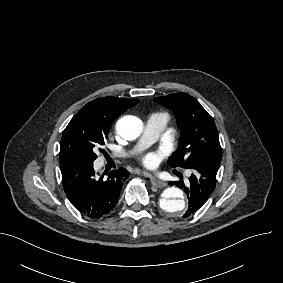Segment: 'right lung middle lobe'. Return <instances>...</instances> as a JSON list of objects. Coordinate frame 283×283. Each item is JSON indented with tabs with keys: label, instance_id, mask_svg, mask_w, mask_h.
I'll list each match as a JSON object with an SVG mask.
<instances>
[{
	"label": "right lung middle lobe",
	"instance_id": "dd1d6c3e",
	"mask_svg": "<svg viewBox=\"0 0 283 283\" xmlns=\"http://www.w3.org/2000/svg\"><path fill=\"white\" fill-rule=\"evenodd\" d=\"M110 125L87 116H74L63 132L60 143L59 163L72 161L93 162L95 150L104 145ZM102 151L101 149H99Z\"/></svg>",
	"mask_w": 283,
	"mask_h": 283
}]
</instances>
